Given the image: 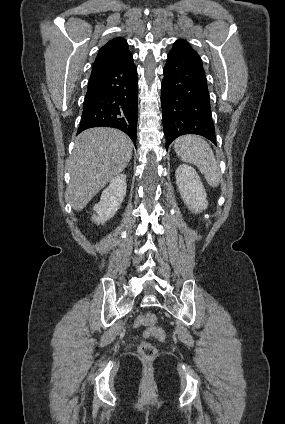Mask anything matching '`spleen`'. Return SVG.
Here are the masks:
<instances>
[{
    "instance_id": "3e777b00",
    "label": "spleen",
    "mask_w": 285,
    "mask_h": 424,
    "mask_svg": "<svg viewBox=\"0 0 285 424\" xmlns=\"http://www.w3.org/2000/svg\"><path fill=\"white\" fill-rule=\"evenodd\" d=\"M174 149L182 161L198 167L210 186L219 185V165L210 145L204 139L197 135H184L175 140Z\"/></svg>"
}]
</instances>
